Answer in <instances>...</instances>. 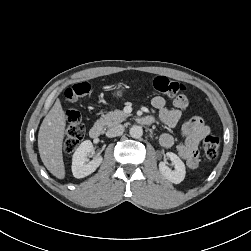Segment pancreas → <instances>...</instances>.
<instances>
[{
	"mask_svg": "<svg viewBox=\"0 0 251 251\" xmlns=\"http://www.w3.org/2000/svg\"><path fill=\"white\" fill-rule=\"evenodd\" d=\"M127 117H129V114L124 111L114 110L103 115L97 120L96 124L103 128H109L123 122Z\"/></svg>",
	"mask_w": 251,
	"mask_h": 251,
	"instance_id": "pancreas-1",
	"label": "pancreas"
}]
</instances>
